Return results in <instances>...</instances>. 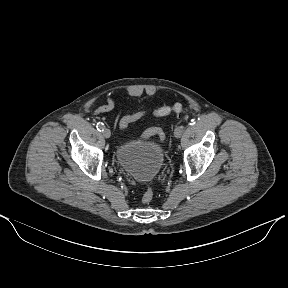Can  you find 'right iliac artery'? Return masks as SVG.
Wrapping results in <instances>:
<instances>
[{"label":"right iliac artery","instance_id":"right-iliac-artery-1","mask_svg":"<svg viewBox=\"0 0 288 288\" xmlns=\"http://www.w3.org/2000/svg\"><path fill=\"white\" fill-rule=\"evenodd\" d=\"M96 127H97V130L100 132H102L105 129V126L102 122H98Z\"/></svg>","mask_w":288,"mask_h":288}]
</instances>
